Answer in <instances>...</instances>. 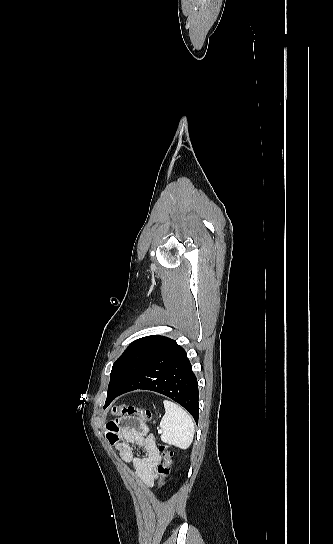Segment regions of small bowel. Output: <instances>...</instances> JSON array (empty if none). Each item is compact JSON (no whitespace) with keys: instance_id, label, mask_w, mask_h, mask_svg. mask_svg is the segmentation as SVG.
Returning <instances> with one entry per match:
<instances>
[{"instance_id":"c3829d8e","label":"small bowel","mask_w":333,"mask_h":544,"mask_svg":"<svg viewBox=\"0 0 333 544\" xmlns=\"http://www.w3.org/2000/svg\"><path fill=\"white\" fill-rule=\"evenodd\" d=\"M134 419L122 418L105 425L107 440L116 446L122 461L131 463L135 475L146 486H152L156 479V467L161 463V456L155 446L153 437L144 423L138 426L126 425ZM131 444L141 447L145 454L135 457Z\"/></svg>"}]
</instances>
